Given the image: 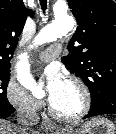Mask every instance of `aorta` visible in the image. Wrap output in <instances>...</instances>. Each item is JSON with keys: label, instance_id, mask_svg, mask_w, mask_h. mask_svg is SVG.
Instances as JSON below:
<instances>
[{"label": "aorta", "instance_id": "1", "mask_svg": "<svg viewBox=\"0 0 116 134\" xmlns=\"http://www.w3.org/2000/svg\"><path fill=\"white\" fill-rule=\"evenodd\" d=\"M74 26V19L69 15H64L57 18L51 24L44 27L35 38V45H41L56 41L58 38L65 36ZM27 56H22V61L18 65V80L20 84L26 89L30 90L32 94L42 92V89L30 74L28 64L26 62Z\"/></svg>", "mask_w": 116, "mask_h": 134}]
</instances>
